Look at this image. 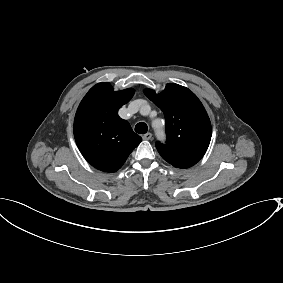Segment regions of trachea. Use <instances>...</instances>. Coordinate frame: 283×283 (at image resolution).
Here are the masks:
<instances>
[{
	"label": "trachea",
	"instance_id": "trachea-1",
	"mask_svg": "<svg viewBox=\"0 0 283 283\" xmlns=\"http://www.w3.org/2000/svg\"><path fill=\"white\" fill-rule=\"evenodd\" d=\"M135 131L139 134H145L148 131V126L144 122H140L135 126Z\"/></svg>",
	"mask_w": 283,
	"mask_h": 283
}]
</instances>
